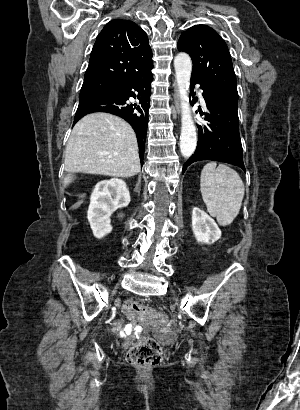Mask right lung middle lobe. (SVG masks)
Here are the masks:
<instances>
[{
	"instance_id": "obj_1",
	"label": "right lung middle lobe",
	"mask_w": 300,
	"mask_h": 410,
	"mask_svg": "<svg viewBox=\"0 0 300 410\" xmlns=\"http://www.w3.org/2000/svg\"><path fill=\"white\" fill-rule=\"evenodd\" d=\"M114 89L113 86L101 82H84L80 91L79 98L91 95L97 92L109 91Z\"/></svg>"
}]
</instances>
